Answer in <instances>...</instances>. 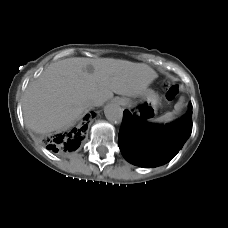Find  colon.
I'll return each mask as SVG.
<instances>
[{
  "instance_id": "5ec220e1",
  "label": "colon",
  "mask_w": 228,
  "mask_h": 228,
  "mask_svg": "<svg viewBox=\"0 0 228 228\" xmlns=\"http://www.w3.org/2000/svg\"><path fill=\"white\" fill-rule=\"evenodd\" d=\"M179 94V87L175 84L168 86L167 92H166V98L169 101L174 100Z\"/></svg>"
}]
</instances>
